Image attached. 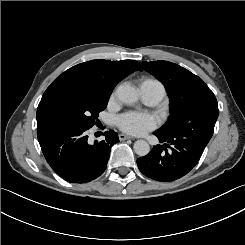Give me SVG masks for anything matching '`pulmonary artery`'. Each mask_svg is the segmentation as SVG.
Here are the masks:
<instances>
[{
    "label": "pulmonary artery",
    "mask_w": 245,
    "mask_h": 245,
    "mask_svg": "<svg viewBox=\"0 0 245 245\" xmlns=\"http://www.w3.org/2000/svg\"><path fill=\"white\" fill-rule=\"evenodd\" d=\"M142 100L147 105L157 104L164 95L163 89L156 80H146L139 87Z\"/></svg>",
    "instance_id": "e3ab8cb5"
}]
</instances>
